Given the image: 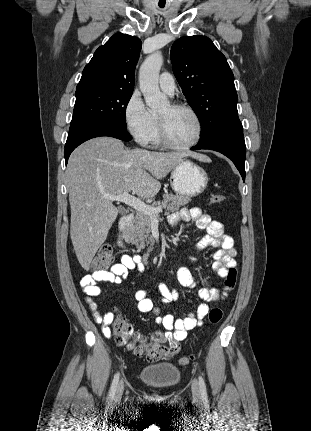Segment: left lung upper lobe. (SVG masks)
Instances as JSON below:
<instances>
[{
  "mask_svg": "<svg viewBox=\"0 0 311 431\" xmlns=\"http://www.w3.org/2000/svg\"><path fill=\"white\" fill-rule=\"evenodd\" d=\"M171 61L182 92L201 123L199 142L241 124L234 75L209 38L196 35L176 40Z\"/></svg>",
  "mask_w": 311,
  "mask_h": 431,
  "instance_id": "left-lung-upper-lobe-1",
  "label": "left lung upper lobe"
}]
</instances>
